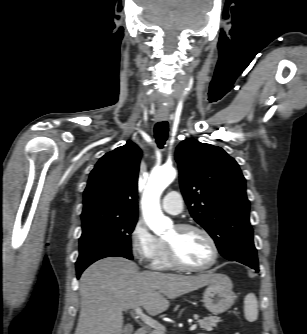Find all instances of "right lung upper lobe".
Wrapping results in <instances>:
<instances>
[{
    "mask_svg": "<svg viewBox=\"0 0 307 334\" xmlns=\"http://www.w3.org/2000/svg\"><path fill=\"white\" fill-rule=\"evenodd\" d=\"M140 159L141 151L131 141L105 154L90 173L81 216L137 218Z\"/></svg>",
    "mask_w": 307,
    "mask_h": 334,
    "instance_id": "obj_1",
    "label": "right lung upper lobe"
}]
</instances>
